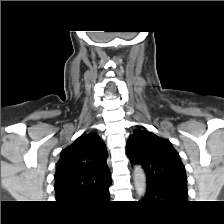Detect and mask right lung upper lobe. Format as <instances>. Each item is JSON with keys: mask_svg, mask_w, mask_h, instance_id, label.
Here are the masks:
<instances>
[{"mask_svg": "<svg viewBox=\"0 0 224 224\" xmlns=\"http://www.w3.org/2000/svg\"><path fill=\"white\" fill-rule=\"evenodd\" d=\"M106 146L95 134H83L61 152L56 166L55 190L59 203L99 200L111 183Z\"/></svg>", "mask_w": 224, "mask_h": 224, "instance_id": "right-lung-upper-lobe-1", "label": "right lung upper lobe"}]
</instances>
